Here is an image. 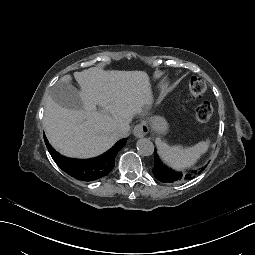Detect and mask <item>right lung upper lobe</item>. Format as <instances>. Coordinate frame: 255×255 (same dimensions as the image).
Listing matches in <instances>:
<instances>
[{"mask_svg": "<svg viewBox=\"0 0 255 255\" xmlns=\"http://www.w3.org/2000/svg\"><path fill=\"white\" fill-rule=\"evenodd\" d=\"M125 143L126 140L121 139L103 155L97 158L86 160L73 159L62 156L51 147L48 141H46V146L58 167L76 179L87 181L83 178V166L85 164H92L94 166V178L90 181H94L108 175L113 170L115 165V157Z\"/></svg>", "mask_w": 255, "mask_h": 255, "instance_id": "obj_1", "label": "right lung upper lobe"}]
</instances>
